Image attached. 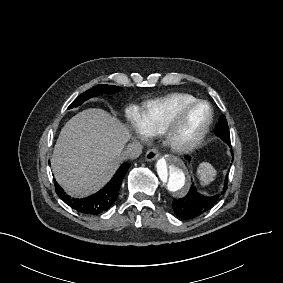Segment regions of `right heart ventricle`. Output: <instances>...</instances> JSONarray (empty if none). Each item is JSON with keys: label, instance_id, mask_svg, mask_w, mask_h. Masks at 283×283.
Returning a JSON list of instances; mask_svg holds the SVG:
<instances>
[{"label": "right heart ventricle", "instance_id": "right-heart-ventricle-1", "mask_svg": "<svg viewBox=\"0 0 283 283\" xmlns=\"http://www.w3.org/2000/svg\"><path fill=\"white\" fill-rule=\"evenodd\" d=\"M167 98L176 100L177 104L174 106L179 109H182V106L185 103L198 99L196 96L188 93H174L168 96ZM161 101L162 100L147 102L138 110V113L140 114L146 128L154 136H159V118L162 111Z\"/></svg>", "mask_w": 283, "mask_h": 283}]
</instances>
